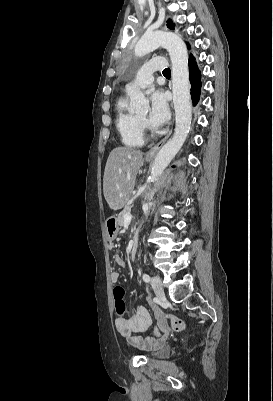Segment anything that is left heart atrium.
Returning <instances> with one entry per match:
<instances>
[{"label":"left heart atrium","mask_w":273,"mask_h":401,"mask_svg":"<svg viewBox=\"0 0 273 401\" xmlns=\"http://www.w3.org/2000/svg\"><path fill=\"white\" fill-rule=\"evenodd\" d=\"M169 118V107L165 97L160 93H155L150 99V109L148 121L153 127H161Z\"/></svg>","instance_id":"obj_1"}]
</instances>
